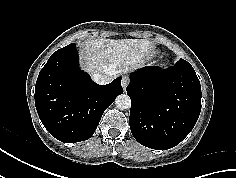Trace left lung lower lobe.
Here are the masks:
<instances>
[{"label":"left lung lower lobe","instance_id":"obj_1","mask_svg":"<svg viewBox=\"0 0 236 178\" xmlns=\"http://www.w3.org/2000/svg\"><path fill=\"white\" fill-rule=\"evenodd\" d=\"M126 91L131 98L132 135L152 149L179 144L201 111V85L191 65L139 69L132 73Z\"/></svg>","mask_w":236,"mask_h":178}]
</instances>
